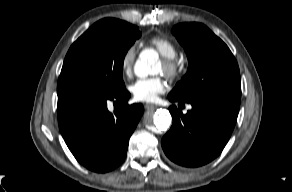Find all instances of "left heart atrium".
Segmentation results:
<instances>
[{"label": "left heart atrium", "instance_id": "39dd6f15", "mask_svg": "<svg viewBox=\"0 0 292 192\" xmlns=\"http://www.w3.org/2000/svg\"><path fill=\"white\" fill-rule=\"evenodd\" d=\"M165 85L160 77L141 78L130 86V91L137 101L152 102L163 93Z\"/></svg>", "mask_w": 292, "mask_h": 192}]
</instances>
